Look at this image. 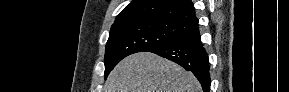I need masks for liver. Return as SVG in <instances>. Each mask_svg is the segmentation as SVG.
I'll list each match as a JSON object with an SVG mask.
<instances>
[{
  "instance_id": "obj_1",
  "label": "liver",
  "mask_w": 289,
  "mask_h": 92,
  "mask_svg": "<svg viewBox=\"0 0 289 92\" xmlns=\"http://www.w3.org/2000/svg\"><path fill=\"white\" fill-rule=\"evenodd\" d=\"M105 92H201L193 73L154 53L123 59L110 73Z\"/></svg>"
}]
</instances>
